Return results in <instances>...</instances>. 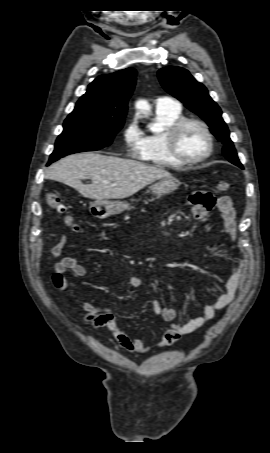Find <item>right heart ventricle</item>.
I'll return each instance as SVG.
<instances>
[{
  "instance_id": "1",
  "label": "right heart ventricle",
  "mask_w": 270,
  "mask_h": 453,
  "mask_svg": "<svg viewBox=\"0 0 270 453\" xmlns=\"http://www.w3.org/2000/svg\"><path fill=\"white\" fill-rule=\"evenodd\" d=\"M183 118L181 108L156 110L154 119L155 131H150L143 136V144L138 153V158L144 162L161 167H181L183 164L174 160L167 151L165 136L169 128L179 119Z\"/></svg>"
}]
</instances>
